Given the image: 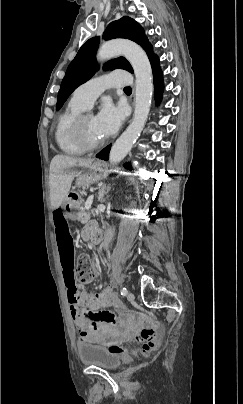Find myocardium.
Returning <instances> with one entry per match:
<instances>
[{
  "instance_id": "myocardium-1",
  "label": "myocardium",
  "mask_w": 243,
  "mask_h": 404,
  "mask_svg": "<svg viewBox=\"0 0 243 404\" xmlns=\"http://www.w3.org/2000/svg\"><path fill=\"white\" fill-rule=\"evenodd\" d=\"M97 34H100V32H97ZM89 115H92V113L86 111L82 112L80 115H78L75 120L71 124V133L74 139L77 141L78 144H80L82 147H84L87 150H94L103 145V141H90L86 138V136L83 133V122L85 118Z\"/></svg>"
}]
</instances>
